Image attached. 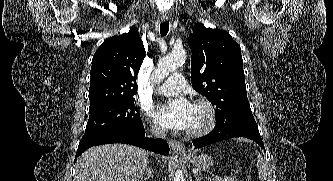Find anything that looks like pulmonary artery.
Here are the masks:
<instances>
[{
  "label": "pulmonary artery",
  "mask_w": 333,
  "mask_h": 181,
  "mask_svg": "<svg viewBox=\"0 0 333 181\" xmlns=\"http://www.w3.org/2000/svg\"><path fill=\"white\" fill-rule=\"evenodd\" d=\"M185 86V79L181 74H173L160 87L159 92L163 95H175L181 92Z\"/></svg>",
  "instance_id": "pulmonary-artery-1"
}]
</instances>
